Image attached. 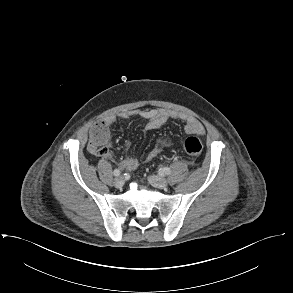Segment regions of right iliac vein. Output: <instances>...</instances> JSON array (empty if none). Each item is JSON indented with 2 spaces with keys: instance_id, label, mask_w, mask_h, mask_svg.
Instances as JSON below:
<instances>
[{
  "instance_id": "obj_1",
  "label": "right iliac vein",
  "mask_w": 293,
  "mask_h": 293,
  "mask_svg": "<svg viewBox=\"0 0 293 293\" xmlns=\"http://www.w3.org/2000/svg\"><path fill=\"white\" fill-rule=\"evenodd\" d=\"M114 184L117 188H121L125 184V180L123 177L119 176L115 178Z\"/></svg>"
}]
</instances>
